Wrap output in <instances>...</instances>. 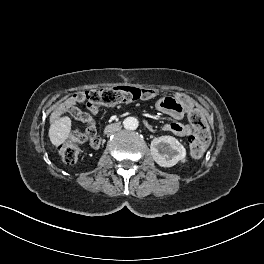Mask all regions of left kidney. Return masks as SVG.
<instances>
[{
  "label": "left kidney",
  "instance_id": "5707ae66",
  "mask_svg": "<svg viewBox=\"0 0 264 264\" xmlns=\"http://www.w3.org/2000/svg\"><path fill=\"white\" fill-rule=\"evenodd\" d=\"M153 160L162 167H172L186 162V149L172 136L154 138L150 145Z\"/></svg>",
  "mask_w": 264,
  "mask_h": 264
}]
</instances>
